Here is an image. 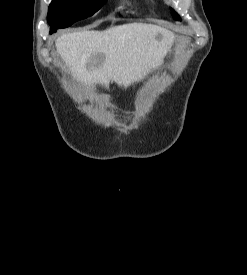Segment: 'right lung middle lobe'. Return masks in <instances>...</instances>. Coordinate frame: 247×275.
<instances>
[{
    "mask_svg": "<svg viewBox=\"0 0 247 275\" xmlns=\"http://www.w3.org/2000/svg\"><path fill=\"white\" fill-rule=\"evenodd\" d=\"M107 0H53L49 6L47 20L50 34L56 29L66 28L74 22L92 16Z\"/></svg>",
    "mask_w": 247,
    "mask_h": 275,
    "instance_id": "right-lung-middle-lobe-1",
    "label": "right lung middle lobe"
}]
</instances>
